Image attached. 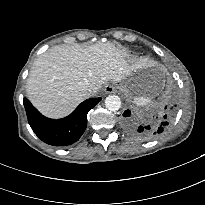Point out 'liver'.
I'll return each mask as SVG.
<instances>
[{"instance_id": "1", "label": "liver", "mask_w": 205, "mask_h": 205, "mask_svg": "<svg viewBox=\"0 0 205 205\" xmlns=\"http://www.w3.org/2000/svg\"><path fill=\"white\" fill-rule=\"evenodd\" d=\"M132 69L126 66L121 48L111 42L58 45L36 58L26 92L43 115L61 118L96 94L102 84L121 82Z\"/></svg>"}]
</instances>
